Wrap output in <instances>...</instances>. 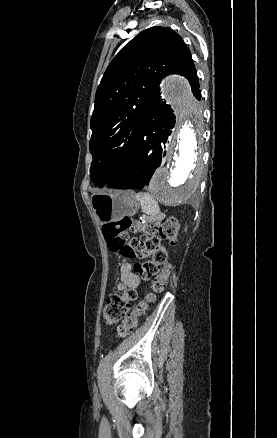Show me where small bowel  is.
Returning <instances> with one entry per match:
<instances>
[{"mask_svg":"<svg viewBox=\"0 0 277 438\" xmlns=\"http://www.w3.org/2000/svg\"><path fill=\"white\" fill-rule=\"evenodd\" d=\"M140 281L137 275L132 272V266L130 263H123L120 269V283L119 288H136Z\"/></svg>","mask_w":277,"mask_h":438,"instance_id":"small-bowel-1","label":"small bowel"}]
</instances>
